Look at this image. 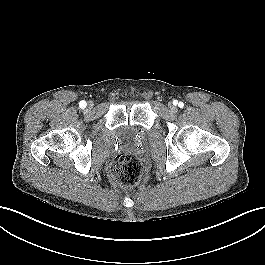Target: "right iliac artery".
<instances>
[{
	"instance_id": "82829eb1",
	"label": "right iliac artery",
	"mask_w": 265,
	"mask_h": 265,
	"mask_svg": "<svg viewBox=\"0 0 265 265\" xmlns=\"http://www.w3.org/2000/svg\"><path fill=\"white\" fill-rule=\"evenodd\" d=\"M86 105L87 104H86V102L84 100L80 101V103H79V107L82 108V109L85 108Z\"/></svg>"
}]
</instances>
